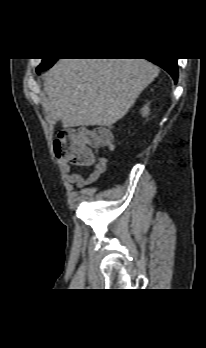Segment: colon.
<instances>
[{"label":"colon","mask_w":206,"mask_h":348,"mask_svg":"<svg viewBox=\"0 0 206 348\" xmlns=\"http://www.w3.org/2000/svg\"><path fill=\"white\" fill-rule=\"evenodd\" d=\"M105 146L113 150L112 136L107 128L70 129L59 134L54 143V153L70 164L89 165L96 160L94 150Z\"/></svg>","instance_id":"colon-1"}]
</instances>
